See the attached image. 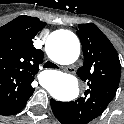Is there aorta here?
<instances>
[{"mask_svg":"<svg viewBox=\"0 0 124 124\" xmlns=\"http://www.w3.org/2000/svg\"><path fill=\"white\" fill-rule=\"evenodd\" d=\"M49 57L60 64H71L80 54L77 36L68 30H61L47 44ZM41 85L59 101H71L78 97L77 79L60 71H47L41 78Z\"/></svg>","mask_w":124,"mask_h":124,"instance_id":"obj_1","label":"aorta"}]
</instances>
